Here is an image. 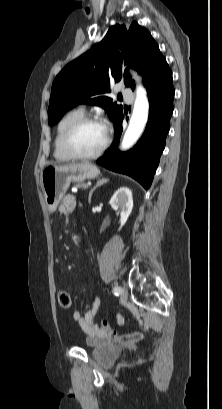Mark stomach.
I'll return each instance as SVG.
<instances>
[{
    "mask_svg": "<svg viewBox=\"0 0 222 409\" xmlns=\"http://www.w3.org/2000/svg\"><path fill=\"white\" fill-rule=\"evenodd\" d=\"M99 169L91 163H71L48 166L41 173L44 200L49 212H55L71 182H83L99 175Z\"/></svg>",
    "mask_w": 222,
    "mask_h": 409,
    "instance_id": "1",
    "label": "stomach"
}]
</instances>
